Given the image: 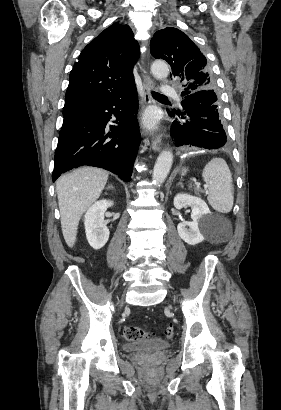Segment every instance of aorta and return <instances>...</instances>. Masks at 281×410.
Listing matches in <instances>:
<instances>
[{
    "mask_svg": "<svg viewBox=\"0 0 281 410\" xmlns=\"http://www.w3.org/2000/svg\"><path fill=\"white\" fill-rule=\"evenodd\" d=\"M151 72L155 78L165 79L169 74V67L164 61H155L151 66ZM172 162L173 154L171 151L164 150L159 154L153 169V182L156 184H162L166 180Z\"/></svg>",
    "mask_w": 281,
    "mask_h": 410,
    "instance_id": "obj_1",
    "label": "aorta"
}]
</instances>
